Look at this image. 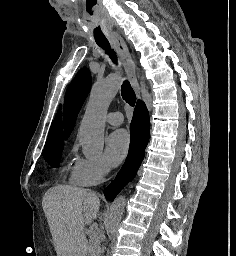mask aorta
<instances>
[{"label":"aorta","mask_w":236,"mask_h":256,"mask_svg":"<svg viewBox=\"0 0 236 256\" xmlns=\"http://www.w3.org/2000/svg\"><path fill=\"white\" fill-rule=\"evenodd\" d=\"M120 76L112 74L93 85L85 115L80 126V140L83 145L100 151L103 148L105 114L120 88ZM125 197L119 196L112 203L106 220V230L113 232L121 220L125 207Z\"/></svg>","instance_id":"aorta-1"}]
</instances>
